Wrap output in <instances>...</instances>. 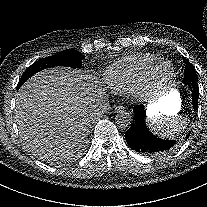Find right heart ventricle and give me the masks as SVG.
I'll return each instance as SVG.
<instances>
[{
    "instance_id": "1",
    "label": "right heart ventricle",
    "mask_w": 207,
    "mask_h": 207,
    "mask_svg": "<svg viewBox=\"0 0 207 207\" xmlns=\"http://www.w3.org/2000/svg\"><path fill=\"white\" fill-rule=\"evenodd\" d=\"M160 61L151 54H140L127 58L109 67L104 80L114 95H128L143 90L148 71Z\"/></svg>"
}]
</instances>
